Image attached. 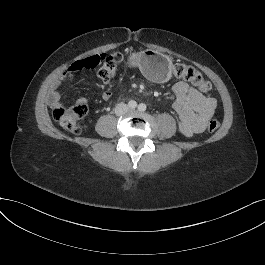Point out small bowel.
Returning <instances> with one entry per match:
<instances>
[{"instance_id": "c3829d8e", "label": "small bowel", "mask_w": 265, "mask_h": 265, "mask_svg": "<svg viewBox=\"0 0 265 265\" xmlns=\"http://www.w3.org/2000/svg\"><path fill=\"white\" fill-rule=\"evenodd\" d=\"M69 76L70 73L66 72L55 82L48 96V102L52 108H56L59 105V86L61 80ZM173 93L175 97L174 109L179 118L180 132L187 137L203 132L206 129L208 121L215 113L217 106L216 99L210 94L201 93L185 81L176 82L173 85ZM111 97L112 93L110 91H104L101 95L104 101L110 100ZM86 103L87 99L85 97L77 100V104Z\"/></svg>"}]
</instances>
